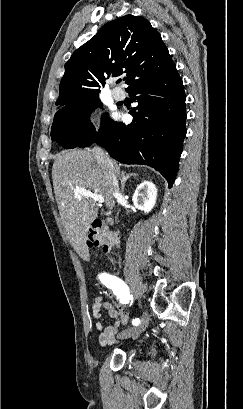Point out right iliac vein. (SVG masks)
<instances>
[{"label": "right iliac vein", "instance_id": "obj_1", "mask_svg": "<svg viewBox=\"0 0 243 409\" xmlns=\"http://www.w3.org/2000/svg\"><path fill=\"white\" fill-rule=\"evenodd\" d=\"M148 322H149V318H148L147 313H143L141 322L138 325H136L135 327H132V328H129V329H126V330L122 331L119 334L118 337L121 338V339H127V338H130V337L138 336L142 332L145 331V329L148 326Z\"/></svg>", "mask_w": 243, "mask_h": 409}]
</instances>
